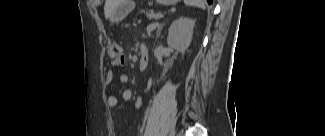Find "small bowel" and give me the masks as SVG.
<instances>
[{
	"label": "small bowel",
	"instance_id": "small-bowel-1",
	"mask_svg": "<svg viewBox=\"0 0 325 136\" xmlns=\"http://www.w3.org/2000/svg\"><path fill=\"white\" fill-rule=\"evenodd\" d=\"M122 63H123V61L122 62H113V65L118 66V65H121ZM114 79H115L114 71L108 70L105 75L106 84H111L114 81ZM118 79L121 84H127L129 82V76L125 73L120 74ZM122 98L124 101L132 100V98H133L132 91L130 89H125L122 92ZM142 104H143V98L140 96L136 97L134 100V106L136 108H140L142 106ZM107 105L110 108H115L118 105V98L114 95L108 96Z\"/></svg>",
	"mask_w": 325,
	"mask_h": 136
}]
</instances>
